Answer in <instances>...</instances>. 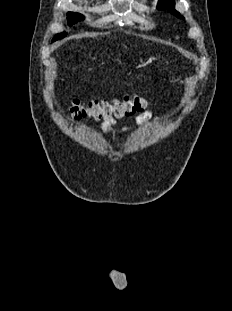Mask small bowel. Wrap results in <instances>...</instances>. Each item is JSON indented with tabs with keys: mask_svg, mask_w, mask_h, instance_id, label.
<instances>
[{
	"mask_svg": "<svg viewBox=\"0 0 232 311\" xmlns=\"http://www.w3.org/2000/svg\"><path fill=\"white\" fill-rule=\"evenodd\" d=\"M161 122V118L151 109L144 111L136 120L138 127L141 129H146L151 123L161 124ZM114 124V120L106 121L103 124L102 130L106 136L112 133V126ZM120 130L124 136L128 135L129 130L126 126H122Z\"/></svg>",
	"mask_w": 232,
	"mask_h": 311,
	"instance_id": "c3829d8e",
	"label": "small bowel"
}]
</instances>
